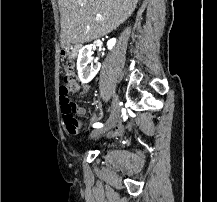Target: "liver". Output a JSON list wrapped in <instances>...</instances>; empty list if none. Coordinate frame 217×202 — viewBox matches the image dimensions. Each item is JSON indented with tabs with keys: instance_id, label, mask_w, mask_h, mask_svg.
I'll list each match as a JSON object with an SVG mask.
<instances>
[{
	"instance_id": "1",
	"label": "liver",
	"mask_w": 217,
	"mask_h": 202,
	"mask_svg": "<svg viewBox=\"0 0 217 202\" xmlns=\"http://www.w3.org/2000/svg\"><path fill=\"white\" fill-rule=\"evenodd\" d=\"M61 42L84 44L116 30L133 14L138 0H58ZM101 20H95L97 16Z\"/></svg>"
}]
</instances>
